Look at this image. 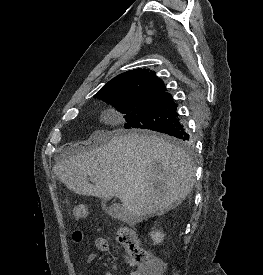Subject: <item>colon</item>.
Wrapping results in <instances>:
<instances>
[{"label":"colon","mask_w":263,"mask_h":275,"mask_svg":"<svg viewBox=\"0 0 263 275\" xmlns=\"http://www.w3.org/2000/svg\"><path fill=\"white\" fill-rule=\"evenodd\" d=\"M87 215V209L83 205H77L72 209V216L75 220H81ZM115 236L117 241L126 249L129 254L130 262L140 270L142 275H158L161 264L150 259L148 253L141 248L134 231L126 226L116 229Z\"/></svg>","instance_id":"obj_1"}]
</instances>
